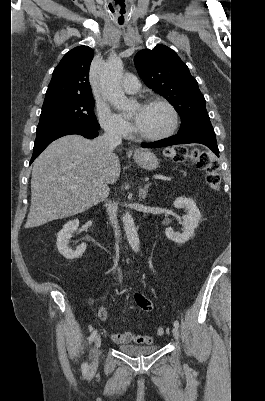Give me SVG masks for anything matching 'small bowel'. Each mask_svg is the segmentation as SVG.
Segmentation results:
<instances>
[{"instance_id": "small-bowel-1", "label": "small bowel", "mask_w": 265, "mask_h": 401, "mask_svg": "<svg viewBox=\"0 0 265 401\" xmlns=\"http://www.w3.org/2000/svg\"><path fill=\"white\" fill-rule=\"evenodd\" d=\"M134 300L136 302V305L139 309L149 312L153 309V304L151 301H149L147 298L142 296L141 294L136 293L134 295ZM142 306H146L147 308H142ZM99 317L102 321H105L107 319V312L104 308H101L99 310ZM111 339L119 344H126V343H138V344H152L153 343V338L150 336L146 335H135L130 331H126L123 333H111L110 334Z\"/></svg>"}]
</instances>
